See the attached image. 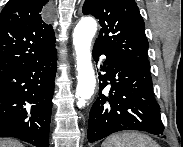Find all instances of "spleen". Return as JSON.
I'll list each match as a JSON object with an SVG mask.
<instances>
[{"label": "spleen", "mask_w": 183, "mask_h": 147, "mask_svg": "<svg viewBox=\"0 0 183 147\" xmlns=\"http://www.w3.org/2000/svg\"><path fill=\"white\" fill-rule=\"evenodd\" d=\"M101 147H160L151 137L138 132H123L109 136Z\"/></svg>", "instance_id": "spleen-1"}]
</instances>
